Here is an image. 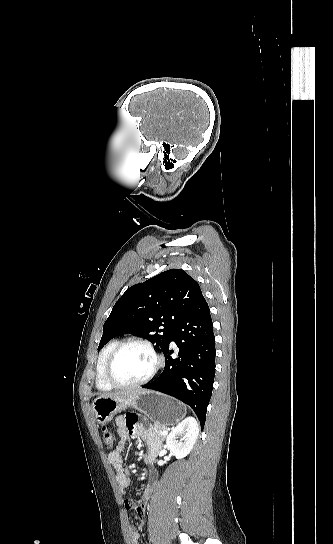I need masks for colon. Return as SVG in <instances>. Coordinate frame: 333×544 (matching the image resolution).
<instances>
[{
  "label": "colon",
  "instance_id": "obj_1",
  "mask_svg": "<svg viewBox=\"0 0 333 544\" xmlns=\"http://www.w3.org/2000/svg\"><path fill=\"white\" fill-rule=\"evenodd\" d=\"M102 438H103L104 443L108 447L112 446V444H113L112 434H111L110 430L108 428H106V427H103V429H102Z\"/></svg>",
  "mask_w": 333,
  "mask_h": 544
}]
</instances>
